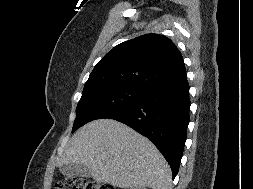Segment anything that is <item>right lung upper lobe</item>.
Masks as SVG:
<instances>
[{"instance_id": "1", "label": "right lung upper lobe", "mask_w": 253, "mask_h": 189, "mask_svg": "<svg viewBox=\"0 0 253 189\" xmlns=\"http://www.w3.org/2000/svg\"><path fill=\"white\" fill-rule=\"evenodd\" d=\"M185 79V65L176 45L163 35L146 34L108 52L94 67L83 92L107 86L148 91Z\"/></svg>"}]
</instances>
